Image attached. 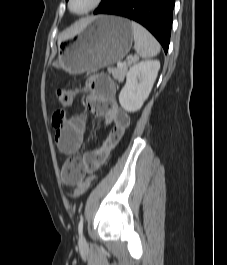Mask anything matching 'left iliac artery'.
<instances>
[{
	"mask_svg": "<svg viewBox=\"0 0 227 265\" xmlns=\"http://www.w3.org/2000/svg\"><path fill=\"white\" fill-rule=\"evenodd\" d=\"M82 230H83V217L80 218V222H79V225H78L79 235L82 234Z\"/></svg>",
	"mask_w": 227,
	"mask_h": 265,
	"instance_id": "left-iliac-artery-1",
	"label": "left iliac artery"
}]
</instances>
